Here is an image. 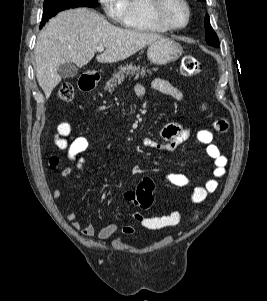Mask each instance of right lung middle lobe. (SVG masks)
<instances>
[{
	"instance_id": "right-lung-middle-lobe-1",
	"label": "right lung middle lobe",
	"mask_w": 267,
	"mask_h": 301,
	"mask_svg": "<svg viewBox=\"0 0 267 301\" xmlns=\"http://www.w3.org/2000/svg\"><path fill=\"white\" fill-rule=\"evenodd\" d=\"M97 4L98 0H45L40 28H42L51 17H54L61 11L80 7H94Z\"/></svg>"
}]
</instances>
